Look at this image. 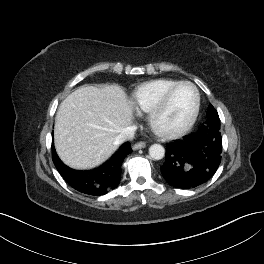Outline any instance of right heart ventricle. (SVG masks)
Instances as JSON below:
<instances>
[{"instance_id": "right-heart-ventricle-1", "label": "right heart ventricle", "mask_w": 264, "mask_h": 264, "mask_svg": "<svg viewBox=\"0 0 264 264\" xmlns=\"http://www.w3.org/2000/svg\"><path fill=\"white\" fill-rule=\"evenodd\" d=\"M178 80L160 78L138 85L132 92L131 103L139 112H149L164 92Z\"/></svg>"}]
</instances>
